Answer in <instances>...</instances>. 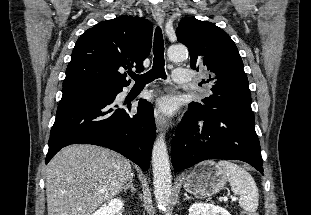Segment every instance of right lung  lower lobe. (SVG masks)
I'll list each match as a JSON object with an SVG mask.
<instances>
[{
  "label": "right lung lower lobe",
  "instance_id": "98d812e1",
  "mask_svg": "<svg viewBox=\"0 0 311 215\" xmlns=\"http://www.w3.org/2000/svg\"><path fill=\"white\" fill-rule=\"evenodd\" d=\"M121 91L104 100L88 96L62 98L50 132L46 164L64 146L93 144L119 152L147 170L155 139L153 108L141 99L138 112L130 115L114 103Z\"/></svg>",
  "mask_w": 311,
  "mask_h": 215
}]
</instances>
